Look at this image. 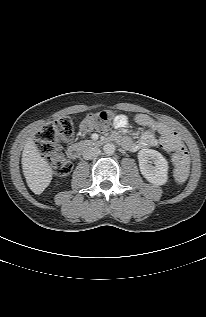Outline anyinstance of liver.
<instances>
[{"instance_id":"1","label":"liver","mask_w":206,"mask_h":317,"mask_svg":"<svg viewBox=\"0 0 206 317\" xmlns=\"http://www.w3.org/2000/svg\"><path fill=\"white\" fill-rule=\"evenodd\" d=\"M22 169L28 187L37 195L41 194L52 180V168L38 152V148L29 138L22 152Z\"/></svg>"}]
</instances>
